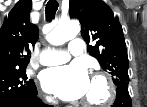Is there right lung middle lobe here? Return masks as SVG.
<instances>
[{"label": "right lung middle lobe", "instance_id": "1", "mask_svg": "<svg viewBox=\"0 0 147 107\" xmlns=\"http://www.w3.org/2000/svg\"><path fill=\"white\" fill-rule=\"evenodd\" d=\"M25 68L26 65L0 72V106L37 91L33 80H27Z\"/></svg>", "mask_w": 147, "mask_h": 107}]
</instances>
